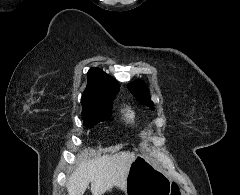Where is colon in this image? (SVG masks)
<instances>
[{"instance_id":"5ec220e1","label":"colon","mask_w":240,"mask_h":195,"mask_svg":"<svg viewBox=\"0 0 240 195\" xmlns=\"http://www.w3.org/2000/svg\"><path fill=\"white\" fill-rule=\"evenodd\" d=\"M175 195H180V193H179V192H176Z\"/></svg>"}]
</instances>
